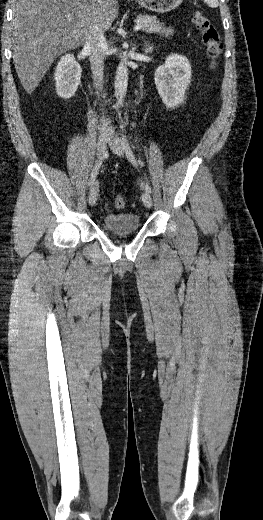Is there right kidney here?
I'll list each match as a JSON object with an SVG mask.
<instances>
[{"instance_id":"obj_1","label":"right kidney","mask_w":263,"mask_h":520,"mask_svg":"<svg viewBox=\"0 0 263 520\" xmlns=\"http://www.w3.org/2000/svg\"><path fill=\"white\" fill-rule=\"evenodd\" d=\"M82 69L72 54L61 57L57 64L54 79L56 81V93L63 99L74 96L81 79Z\"/></svg>"}]
</instances>
